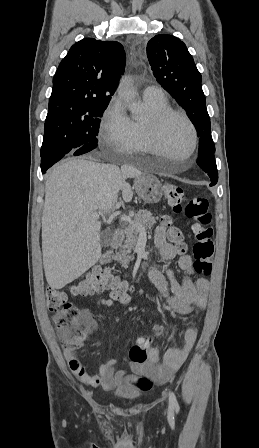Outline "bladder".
Segmentation results:
<instances>
[{"instance_id": "1", "label": "bladder", "mask_w": 259, "mask_h": 448, "mask_svg": "<svg viewBox=\"0 0 259 448\" xmlns=\"http://www.w3.org/2000/svg\"><path fill=\"white\" fill-rule=\"evenodd\" d=\"M114 395L124 401H135L140 397V393L133 389L122 388L114 392Z\"/></svg>"}]
</instances>
